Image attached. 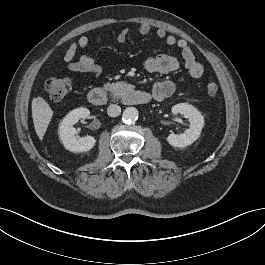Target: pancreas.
Wrapping results in <instances>:
<instances>
[{"label": "pancreas", "instance_id": "pancreas-1", "mask_svg": "<svg viewBox=\"0 0 265 265\" xmlns=\"http://www.w3.org/2000/svg\"><path fill=\"white\" fill-rule=\"evenodd\" d=\"M104 89L108 90L114 99H118L127 89V85L124 82L107 83L104 85Z\"/></svg>", "mask_w": 265, "mask_h": 265}]
</instances>
